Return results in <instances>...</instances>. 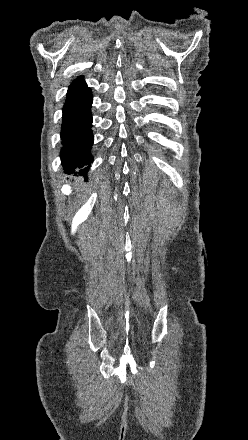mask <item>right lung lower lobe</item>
I'll return each instance as SVG.
<instances>
[{
  "label": "right lung lower lobe",
  "instance_id": "98d812e1",
  "mask_svg": "<svg viewBox=\"0 0 248 440\" xmlns=\"http://www.w3.org/2000/svg\"><path fill=\"white\" fill-rule=\"evenodd\" d=\"M91 105V90L84 81L69 87L61 129V159L68 174L79 169L76 173L86 176L89 167L85 166L93 162L89 152L94 140L91 131Z\"/></svg>",
  "mask_w": 248,
  "mask_h": 440
}]
</instances>
